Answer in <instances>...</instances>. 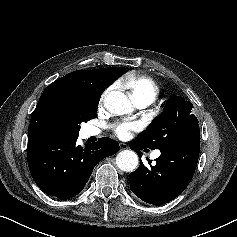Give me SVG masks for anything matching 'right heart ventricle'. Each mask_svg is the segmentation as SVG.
<instances>
[{
    "instance_id": "obj_1",
    "label": "right heart ventricle",
    "mask_w": 237,
    "mask_h": 237,
    "mask_svg": "<svg viewBox=\"0 0 237 237\" xmlns=\"http://www.w3.org/2000/svg\"><path fill=\"white\" fill-rule=\"evenodd\" d=\"M122 85L129 89L137 105L141 102L152 103L160 93L158 84L147 76L128 75L122 80Z\"/></svg>"
}]
</instances>
